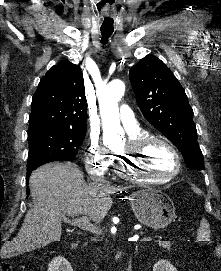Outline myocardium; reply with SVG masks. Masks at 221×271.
Segmentation results:
<instances>
[{"instance_id": "1", "label": "myocardium", "mask_w": 221, "mask_h": 271, "mask_svg": "<svg viewBox=\"0 0 221 271\" xmlns=\"http://www.w3.org/2000/svg\"><path fill=\"white\" fill-rule=\"evenodd\" d=\"M168 140L171 139L166 136L135 137V140H130V145H125L124 149L130 150L129 154L134 156L145 155L147 153L145 150H167L166 154L171 157L169 166L172 167V170H175L174 172H145L139 161L133 163L129 158H116L112 161V168H114V172L120 173H115V178H152V184H164L163 178L156 177L177 178L182 172L181 165H178L179 156H176L175 145H170Z\"/></svg>"}]
</instances>
